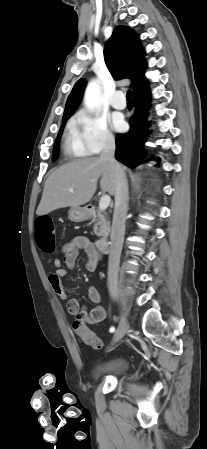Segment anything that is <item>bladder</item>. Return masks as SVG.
Returning a JSON list of instances; mask_svg holds the SVG:
<instances>
[{
    "instance_id": "obj_1",
    "label": "bladder",
    "mask_w": 207,
    "mask_h": 449,
    "mask_svg": "<svg viewBox=\"0 0 207 449\" xmlns=\"http://www.w3.org/2000/svg\"><path fill=\"white\" fill-rule=\"evenodd\" d=\"M128 369V362L124 358H118L110 361L104 367L98 368L93 373L94 378H100L104 376H120Z\"/></svg>"
}]
</instances>
